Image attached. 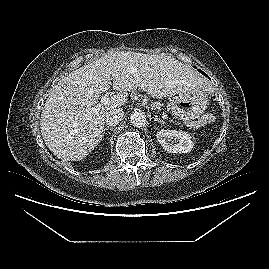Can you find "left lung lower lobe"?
I'll list each match as a JSON object with an SVG mask.
<instances>
[{"instance_id":"obj_1","label":"left lung lower lobe","mask_w":269,"mask_h":269,"mask_svg":"<svg viewBox=\"0 0 269 269\" xmlns=\"http://www.w3.org/2000/svg\"><path fill=\"white\" fill-rule=\"evenodd\" d=\"M198 71H200L202 74H204L205 76H207L203 71H201V70H199V69H198Z\"/></svg>"}]
</instances>
